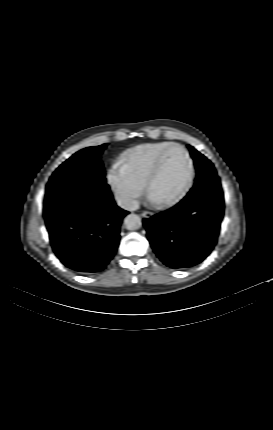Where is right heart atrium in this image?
<instances>
[{
    "instance_id": "obj_1",
    "label": "right heart atrium",
    "mask_w": 273,
    "mask_h": 430,
    "mask_svg": "<svg viewBox=\"0 0 273 430\" xmlns=\"http://www.w3.org/2000/svg\"><path fill=\"white\" fill-rule=\"evenodd\" d=\"M108 181L120 206L125 209L136 206L144 185L135 180L122 163L111 164L108 170Z\"/></svg>"
}]
</instances>
